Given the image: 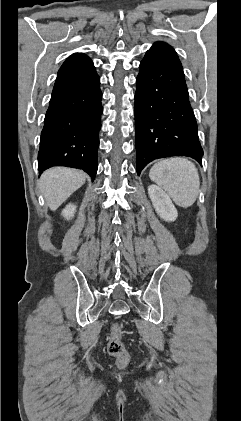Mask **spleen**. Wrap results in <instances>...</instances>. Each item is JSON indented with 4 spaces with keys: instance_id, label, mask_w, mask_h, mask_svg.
<instances>
[{
    "instance_id": "obj_1",
    "label": "spleen",
    "mask_w": 241,
    "mask_h": 421,
    "mask_svg": "<svg viewBox=\"0 0 241 421\" xmlns=\"http://www.w3.org/2000/svg\"><path fill=\"white\" fill-rule=\"evenodd\" d=\"M149 177L180 207H190L198 197V170L186 158L175 157L158 161L151 167Z\"/></svg>"
}]
</instances>
